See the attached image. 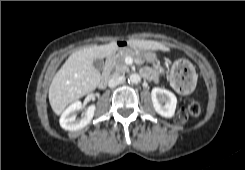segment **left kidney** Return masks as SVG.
I'll use <instances>...</instances> for the list:
<instances>
[{"label":"left kidney","instance_id":"left-kidney-1","mask_svg":"<svg viewBox=\"0 0 245 170\" xmlns=\"http://www.w3.org/2000/svg\"><path fill=\"white\" fill-rule=\"evenodd\" d=\"M151 99L155 111L166 118H171L174 116L177 98L176 96L163 88L155 87L151 92Z\"/></svg>","mask_w":245,"mask_h":170}]
</instances>
